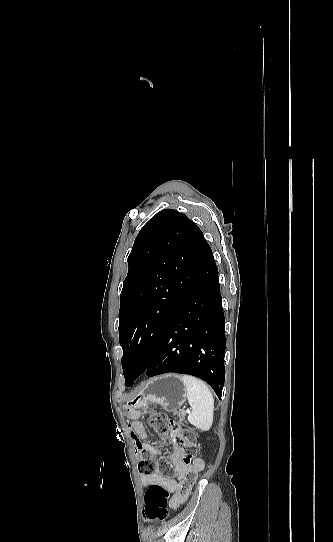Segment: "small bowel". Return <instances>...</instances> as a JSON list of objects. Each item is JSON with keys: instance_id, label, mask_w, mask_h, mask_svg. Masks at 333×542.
<instances>
[{"instance_id": "small-bowel-1", "label": "small bowel", "mask_w": 333, "mask_h": 542, "mask_svg": "<svg viewBox=\"0 0 333 542\" xmlns=\"http://www.w3.org/2000/svg\"><path fill=\"white\" fill-rule=\"evenodd\" d=\"M126 416H129V413H126ZM130 429L134 446L137 451L142 454V461L148 463L152 458H156L159 455V451L148 442L147 434L142 422L135 419L130 424ZM162 441L169 443L172 447L170 461L178 480L186 481L187 479L191 478L192 481L195 482L199 472L204 469V461L199 458H190L192 464H189L190 462L186 463L185 459L188 457V455L177 442L174 440L167 441L165 439H162ZM138 452L135 454L137 457L140 455ZM141 483L145 487L153 484L164 486L170 493H172L170 504L173 508L179 507V505L182 504L188 496V494L181 491L182 484H180L177 480L165 477L158 473L142 477Z\"/></svg>"}]
</instances>
